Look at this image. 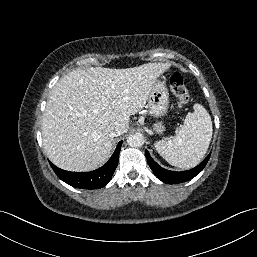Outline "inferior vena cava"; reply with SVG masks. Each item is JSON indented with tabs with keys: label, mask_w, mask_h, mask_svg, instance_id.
I'll use <instances>...</instances> for the list:
<instances>
[{
	"label": "inferior vena cava",
	"mask_w": 257,
	"mask_h": 257,
	"mask_svg": "<svg viewBox=\"0 0 257 257\" xmlns=\"http://www.w3.org/2000/svg\"><path fill=\"white\" fill-rule=\"evenodd\" d=\"M122 134V132L119 129H113L110 131L109 135L111 137H116V136H120Z\"/></svg>",
	"instance_id": "inferior-vena-cava-1"
}]
</instances>
